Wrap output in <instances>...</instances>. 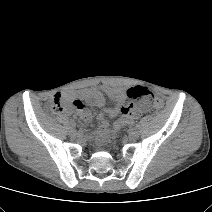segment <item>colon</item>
I'll list each match as a JSON object with an SVG mask.
<instances>
[{
	"label": "colon",
	"instance_id": "1",
	"mask_svg": "<svg viewBox=\"0 0 212 212\" xmlns=\"http://www.w3.org/2000/svg\"><path fill=\"white\" fill-rule=\"evenodd\" d=\"M128 97L132 99H145L151 101L155 108L162 109L164 104L163 101L154 96L151 90L146 86H134L128 90ZM73 106L77 109L83 108V104L79 101H74ZM69 102L63 100L59 96H55L50 102L48 110L52 113H60L66 111L69 108Z\"/></svg>",
	"mask_w": 212,
	"mask_h": 212
}]
</instances>
